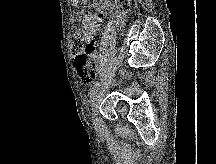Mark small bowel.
I'll return each mask as SVG.
<instances>
[{
	"label": "small bowel",
	"instance_id": "c3829d8e",
	"mask_svg": "<svg viewBox=\"0 0 216 164\" xmlns=\"http://www.w3.org/2000/svg\"><path fill=\"white\" fill-rule=\"evenodd\" d=\"M94 17H95V15H93V14H87V15L85 16V19H84V20H86V19H92V18H94ZM95 30H96V29H95ZM95 30L92 31L91 35L95 32Z\"/></svg>",
	"mask_w": 216,
	"mask_h": 164
}]
</instances>
